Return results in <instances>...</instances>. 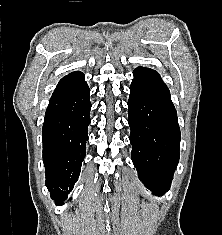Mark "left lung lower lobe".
<instances>
[{"instance_id":"left-lung-lower-lobe-1","label":"left lung lower lobe","mask_w":222,"mask_h":235,"mask_svg":"<svg viewBox=\"0 0 222 235\" xmlns=\"http://www.w3.org/2000/svg\"><path fill=\"white\" fill-rule=\"evenodd\" d=\"M133 75L128 100L131 156L145 187L162 195L179 161L177 112L159 73L138 67Z\"/></svg>"}]
</instances>
